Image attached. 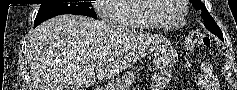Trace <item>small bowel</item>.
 Segmentation results:
<instances>
[{
  "label": "small bowel",
  "instance_id": "obj_1",
  "mask_svg": "<svg viewBox=\"0 0 237 90\" xmlns=\"http://www.w3.org/2000/svg\"><path fill=\"white\" fill-rule=\"evenodd\" d=\"M172 80V75L167 70L155 73L152 77L151 90H163L165 86ZM218 80L214 74L212 67L208 63L201 65V75L199 78V86L195 90H217Z\"/></svg>",
  "mask_w": 237,
  "mask_h": 90
}]
</instances>
